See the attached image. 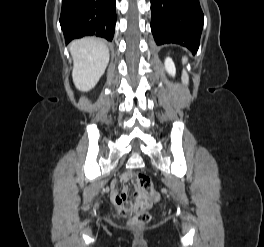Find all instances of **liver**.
<instances>
[{
	"instance_id": "obj_1",
	"label": "liver",
	"mask_w": 264,
	"mask_h": 247,
	"mask_svg": "<svg viewBox=\"0 0 264 247\" xmlns=\"http://www.w3.org/2000/svg\"><path fill=\"white\" fill-rule=\"evenodd\" d=\"M74 67L72 78L76 88L82 92L91 90L104 74L109 62L106 44L96 38H82L70 44Z\"/></svg>"
}]
</instances>
